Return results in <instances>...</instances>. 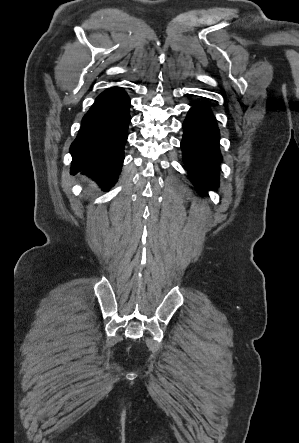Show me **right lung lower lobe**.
Segmentation results:
<instances>
[{
    "label": "right lung lower lobe",
    "instance_id": "98d812e1",
    "mask_svg": "<svg viewBox=\"0 0 299 443\" xmlns=\"http://www.w3.org/2000/svg\"><path fill=\"white\" fill-rule=\"evenodd\" d=\"M129 107L130 99L119 87L109 88L97 97L70 147L72 174L82 171L103 190L115 184L124 160Z\"/></svg>",
    "mask_w": 299,
    "mask_h": 443
}]
</instances>
